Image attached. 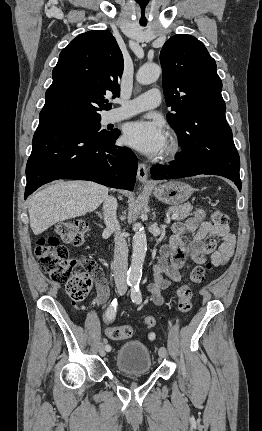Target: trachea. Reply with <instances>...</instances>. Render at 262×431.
Here are the masks:
<instances>
[{
    "label": "trachea",
    "instance_id": "obj_1",
    "mask_svg": "<svg viewBox=\"0 0 262 431\" xmlns=\"http://www.w3.org/2000/svg\"><path fill=\"white\" fill-rule=\"evenodd\" d=\"M139 8H140V12L144 13L145 9L148 5V0H137Z\"/></svg>",
    "mask_w": 262,
    "mask_h": 431
}]
</instances>
